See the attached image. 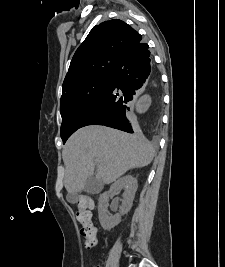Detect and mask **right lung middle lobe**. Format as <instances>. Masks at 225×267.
I'll return each mask as SVG.
<instances>
[{
  "mask_svg": "<svg viewBox=\"0 0 225 267\" xmlns=\"http://www.w3.org/2000/svg\"><path fill=\"white\" fill-rule=\"evenodd\" d=\"M111 76L112 74L94 77L63 91L60 105L62 116L60 134L64 143L97 106L110 83Z\"/></svg>",
  "mask_w": 225,
  "mask_h": 267,
  "instance_id": "dd1d6c3e",
  "label": "right lung middle lobe"
}]
</instances>
